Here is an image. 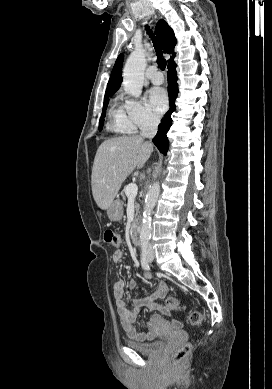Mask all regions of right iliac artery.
Segmentation results:
<instances>
[{"mask_svg": "<svg viewBox=\"0 0 272 389\" xmlns=\"http://www.w3.org/2000/svg\"><path fill=\"white\" fill-rule=\"evenodd\" d=\"M147 242H143L141 244V247H142V254H141V265H142V268L146 271H149L150 270V266H149V262H148V259H147Z\"/></svg>", "mask_w": 272, "mask_h": 389, "instance_id": "82829eb1", "label": "right iliac artery"}]
</instances>
